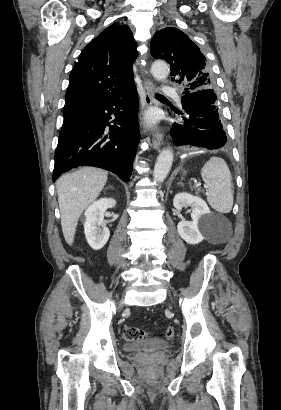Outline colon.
Masks as SVG:
<instances>
[{"label": "colon", "mask_w": 281, "mask_h": 410, "mask_svg": "<svg viewBox=\"0 0 281 410\" xmlns=\"http://www.w3.org/2000/svg\"><path fill=\"white\" fill-rule=\"evenodd\" d=\"M174 335V328L172 325L166 327L164 331V336L168 339L172 338ZM149 336V333L143 329L135 326H126L123 329V337L126 341H137Z\"/></svg>", "instance_id": "5ec220e1"}]
</instances>
